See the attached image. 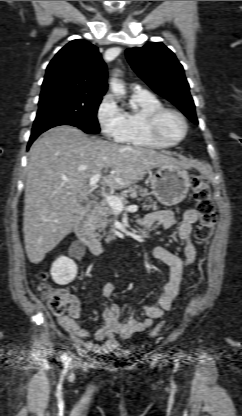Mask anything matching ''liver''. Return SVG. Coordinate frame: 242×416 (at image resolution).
Segmentation results:
<instances>
[{
  "mask_svg": "<svg viewBox=\"0 0 242 416\" xmlns=\"http://www.w3.org/2000/svg\"><path fill=\"white\" fill-rule=\"evenodd\" d=\"M165 164L187 166L153 149L88 137L73 126L48 130L29 151L23 219L29 261L40 263L71 232L82 214L78 199L86 201L92 176L109 172L102 184L123 189Z\"/></svg>",
  "mask_w": 242,
  "mask_h": 416,
  "instance_id": "obj_1",
  "label": "liver"
}]
</instances>
